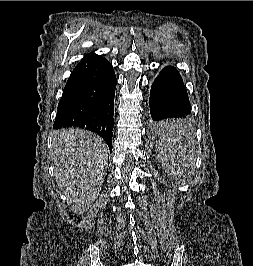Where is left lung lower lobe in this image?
I'll use <instances>...</instances> for the list:
<instances>
[{
    "mask_svg": "<svg viewBox=\"0 0 253 266\" xmlns=\"http://www.w3.org/2000/svg\"><path fill=\"white\" fill-rule=\"evenodd\" d=\"M149 102V123L155 135L171 136L184 132L183 119L191 112L190 102L182 79L174 67H166L154 80Z\"/></svg>",
    "mask_w": 253,
    "mask_h": 266,
    "instance_id": "0a47b994",
    "label": "left lung lower lobe"
}]
</instances>
